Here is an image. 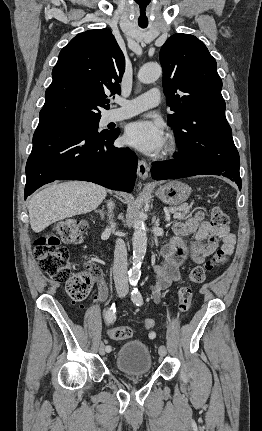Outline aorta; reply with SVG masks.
Instances as JSON below:
<instances>
[{
    "label": "aorta",
    "instance_id": "obj_1",
    "mask_svg": "<svg viewBox=\"0 0 262 431\" xmlns=\"http://www.w3.org/2000/svg\"><path fill=\"white\" fill-rule=\"evenodd\" d=\"M162 73L161 66L156 63L143 65L138 72V79L142 83L156 81ZM133 262L129 271L130 281L136 283L141 276V265L147 249V227L144 222V213L140 212L134 222V234L132 238Z\"/></svg>",
    "mask_w": 262,
    "mask_h": 431
}]
</instances>
